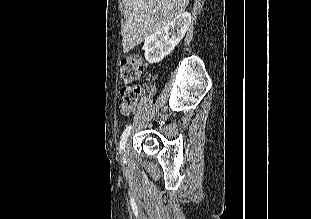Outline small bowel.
Returning <instances> with one entry per match:
<instances>
[{"instance_id":"obj_1","label":"small bowel","mask_w":311,"mask_h":219,"mask_svg":"<svg viewBox=\"0 0 311 219\" xmlns=\"http://www.w3.org/2000/svg\"><path fill=\"white\" fill-rule=\"evenodd\" d=\"M133 107L131 108H128V107H125L124 105L122 106L121 108V112L124 114V115H128L131 111H133Z\"/></svg>"}]
</instances>
